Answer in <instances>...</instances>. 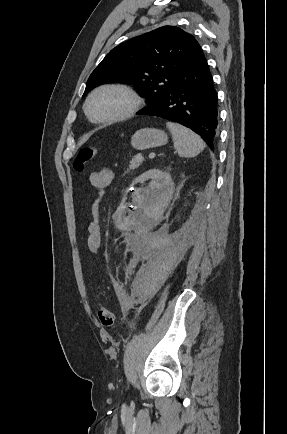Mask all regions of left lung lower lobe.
Segmentation results:
<instances>
[{
  "instance_id": "0a47b994",
  "label": "left lung lower lobe",
  "mask_w": 287,
  "mask_h": 434,
  "mask_svg": "<svg viewBox=\"0 0 287 434\" xmlns=\"http://www.w3.org/2000/svg\"><path fill=\"white\" fill-rule=\"evenodd\" d=\"M138 114L180 123L213 149L218 134L217 94L205 56L187 66L157 103Z\"/></svg>"
}]
</instances>
